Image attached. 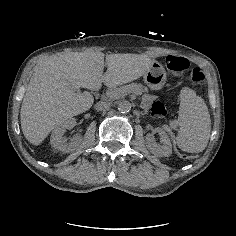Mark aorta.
<instances>
[{
	"mask_svg": "<svg viewBox=\"0 0 236 236\" xmlns=\"http://www.w3.org/2000/svg\"><path fill=\"white\" fill-rule=\"evenodd\" d=\"M118 110L121 113H127L131 110V103L129 101L123 100L118 104Z\"/></svg>",
	"mask_w": 236,
	"mask_h": 236,
	"instance_id": "obj_1",
	"label": "aorta"
}]
</instances>
